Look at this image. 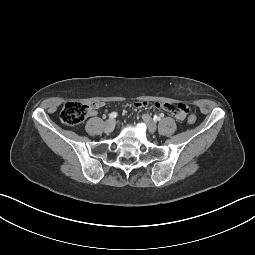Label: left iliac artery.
<instances>
[{
  "mask_svg": "<svg viewBox=\"0 0 255 255\" xmlns=\"http://www.w3.org/2000/svg\"><path fill=\"white\" fill-rule=\"evenodd\" d=\"M161 118H160V116H154V120H156V121H159Z\"/></svg>",
  "mask_w": 255,
  "mask_h": 255,
  "instance_id": "44dca946",
  "label": "left iliac artery"
}]
</instances>
